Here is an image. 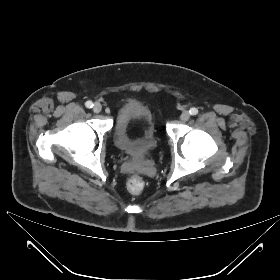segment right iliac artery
I'll return each instance as SVG.
<instances>
[{"instance_id":"1","label":"right iliac artery","mask_w":280,"mask_h":280,"mask_svg":"<svg viewBox=\"0 0 280 280\" xmlns=\"http://www.w3.org/2000/svg\"><path fill=\"white\" fill-rule=\"evenodd\" d=\"M85 106H86L87 108H92V107H93L92 101H87V102L85 103Z\"/></svg>"}]
</instances>
